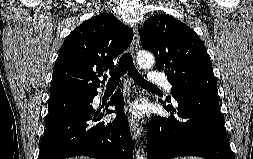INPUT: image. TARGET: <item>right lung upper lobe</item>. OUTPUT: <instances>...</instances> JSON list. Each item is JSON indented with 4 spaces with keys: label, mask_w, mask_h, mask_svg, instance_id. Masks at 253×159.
<instances>
[{
    "label": "right lung upper lobe",
    "mask_w": 253,
    "mask_h": 159,
    "mask_svg": "<svg viewBox=\"0 0 253 159\" xmlns=\"http://www.w3.org/2000/svg\"><path fill=\"white\" fill-rule=\"evenodd\" d=\"M132 38L133 31L109 13L74 29L55 62L49 101L97 92L98 77L114 67L113 58L128 48Z\"/></svg>",
    "instance_id": "obj_1"
}]
</instances>
